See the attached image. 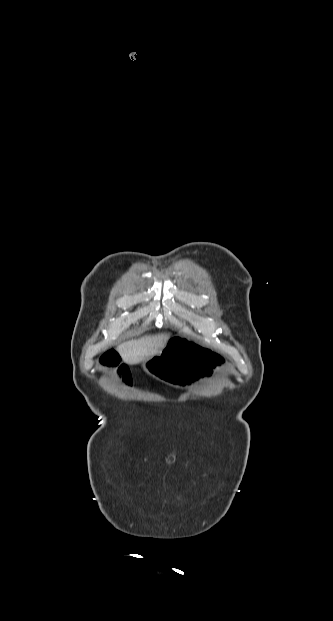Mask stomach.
<instances>
[{
    "label": "stomach",
    "mask_w": 333,
    "mask_h": 621,
    "mask_svg": "<svg viewBox=\"0 0 333 621\" xmlns=\"http://www.w3.org/2000/svg\"><path fill=\"white\" fill-rule=\"evenodd\" d=\"M211 356L212 348L207 342L172 336L162 350L153 353L143 366L149 362L156 368L152 375L159 382L183 385L186 379H190L194 383H201L215 376L214 371L207 370V367L216 364L215 359L209 358Z\"/></svg>",
    "instance_id": "0dacf381"
}]
</instances>
